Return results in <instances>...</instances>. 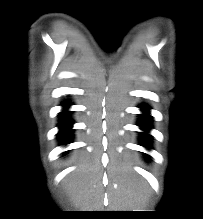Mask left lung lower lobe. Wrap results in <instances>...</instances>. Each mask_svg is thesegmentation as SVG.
Instances as JSON below:
<instances>
[{
	"mask_svg": "<svg viewBox=\"0 0 203 219\" xmlns=\"http://www.w3.org/2000/svg\"><path fill=\"white\" fill-rule=\"evenodd\" d=\"M140 108L143 110L144 114H141V118L138 126H140L143 130H148L151 127L150 126L151 116L148 114L149 107L147 105H141ZM149 139L150 136L148 134L142 133V140L145 143V147H149L148 146Z\"/></svg>",
	"mask_w": 203,
	"mask_h": 219,
	"instance_id": "1",
	"label": "left lung lower lobe"
}]
</instances>
